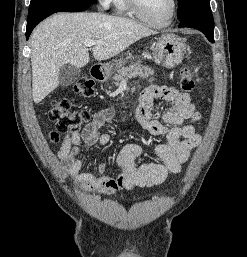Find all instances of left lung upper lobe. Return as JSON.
Segmentation results:
<instances>
[{"instance_id":"left-lung-upper-lobe-1","label":"left lung upper lobe","mask_w":247,"mask_h":257,"mask_svg":"<svg viewBox=\"0 0 247 257\" xmlns=\"http://www.w3.org/2000/svg\"><path fill=\"white\" fill-rule=\"evenodd\" d=\"M179 9L177 15L179 18L191 14H201L206 17H213L210 9L209 0H178Z\"/></svg>"}]
</instances>
